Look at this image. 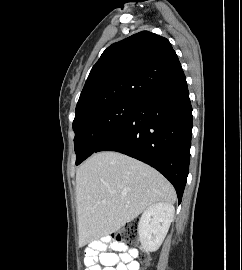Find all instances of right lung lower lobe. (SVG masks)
<instances>
[{
    "label": "right lung lower lobe",
    "instance_id": "obj_1",
    "mask_svg": "<svg viewBox=\"0 0 242 270\" xmlns=\"http://www.w3.org/2000/svg\"><path fill=\"white\" fill-rule=\"evenodd\" d=\"M191 135L192 107L181 70L138 99L121 127L95 152H121L154 167L172 183L180 204Z\"/></svg>",
    "mask_w": 242,
    "mask_h": 270
}]
</instances>
